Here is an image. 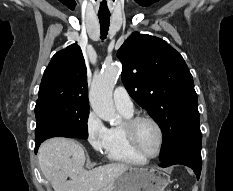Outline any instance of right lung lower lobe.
<instances>
[{
  "instance_id": "98d812e1",
  "label": "right lung lower lobe",
  "mask_w": 233,
  "mask_h": 191,
  "mask_svg": "<svg viewBox=\"0 0 233 191\" xmlns=\"http://www.w3.org/2000/svg\"><path fill=\"white\" fill-rule=\"evenodd\" d=\"M43 141H35V152H37L38 150V147L40 146V144L42 143Z\"/></svg>"
}]
</instances>
